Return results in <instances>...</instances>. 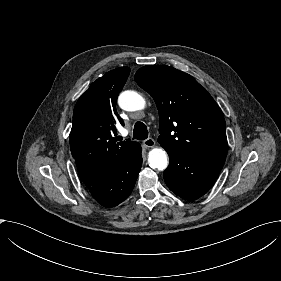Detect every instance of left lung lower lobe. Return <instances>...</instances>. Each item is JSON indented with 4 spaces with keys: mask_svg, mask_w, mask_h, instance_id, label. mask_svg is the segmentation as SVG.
<instances>
[{
    "mask_svg": "<svg viewBox=\"0 0 281 281\" xmlns=\"http://www.w3.org/2000/svg\"><path fill=\"white\" fill-rule=\"evenodd\" d=\"M170 163L164 171V180L171 191L186 200L204 195L214 184L225 160L194 158L164 148Z\"/></svg>",
    "mask_w": 281,
    "mask_h": 281,
    "instance_id": "1",
    "label": "left lung lower lobe"
}]
</instances>
